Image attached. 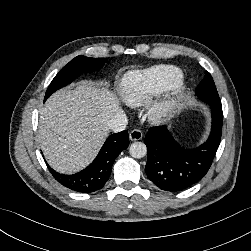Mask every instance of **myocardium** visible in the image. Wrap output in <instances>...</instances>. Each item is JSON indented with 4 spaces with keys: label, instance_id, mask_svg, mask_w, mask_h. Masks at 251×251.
Wrapping results in <instances>:
<instances>
[{
    "label": "myocardium",
    "instance_id": "obj_1",
    "mask_svg": "<svg viewBox=\"0 0 251 251\" xmlns=\"http://www.w3.org/2000/svg\"><path fill=\"white\" fill-rule=\"evenodd\" d=\"M186 89L184 80L166 90L165 94L155 101L149 108L148 116L153 122H162L178 109Z\"/></svg>",
    "mask_w": 251,
    "mask_h": 251
}]
</instances>
